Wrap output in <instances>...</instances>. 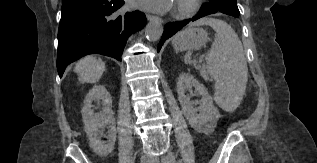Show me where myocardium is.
I'll return each mask as SVG.
<instances>
[{
	"instance_id": "1",
	"label": "myocardium",
	"mask_w": 317,
	"mask_h": 163,
	"mask_svg": "<svg viewBox=\"0 0 317 163\" xmlns=\"http://www.w3.org/2000/svg\"><path fill=\"white\" fill-rule=\"evenodd\" d=\"M201 5V0H178L173 15L176 18H187L195 14Z\"/></svg>"
}]
</instances>
